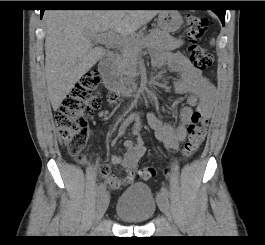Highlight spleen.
<instances>
[{
  "instance_id": "3e777b00",
  "label": "spleen",
  "mask_w": 265,
  "mask_h": 245,
  "mask_svg": "<svg viewBox=\"0 0 265 245\" xmlns=\"http://www.w3.org/2000/svg\"><path fill=\"white\" fill-rule=\"evenodd\" d=\"M211 44H214V40L211 41Z\"/></svg>"
}]
</instances>
